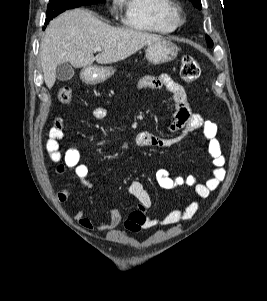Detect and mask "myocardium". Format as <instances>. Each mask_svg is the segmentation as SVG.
Here are the masks:
<instances>
[{
	"label": "myocardium",
	"mask_w": 267,
	"mask_h": 301,
	"mask_svg": "<svg viewBox=\"0 0 267 301\" xmlns=\"http://www.w3.org/2000/svg\"><path fill=\"white\" fill-rule=\"evenodd\" d=\"M170 16L178 25L183 22V11L179 4L172 3L169 7Z\"/></svg>",
	"instance_id": "obj_1"
}]
</instances>
